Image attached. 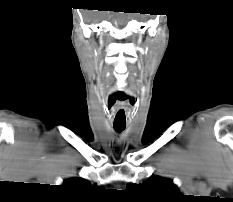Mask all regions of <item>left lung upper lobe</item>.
Wrapping results in <instances>:
<instances>
[{"label":"left lung upper lobe","mask_w":233,"mask_h":202,"mask_svg":"<svg viewBox=\"0 0 233 202\" xmlns=\"http://www.w3.org/2000/svg\"><path fill=\"white\" fill-rule=\"evenodd\" d=\"M127 190L153 202H174L181 197L177 186L171 180L159 176H154L140 185L128 184Z\"/></svg>","instance_id":"obj_1"}]
</instances>
